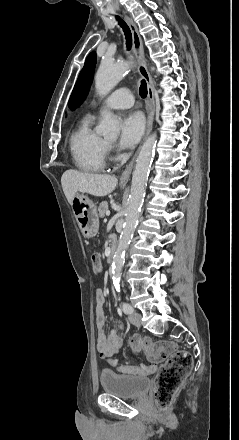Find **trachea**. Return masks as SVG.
I'll use <instances>...</instances> for the list:
<instances>
[{"mask_svg": "<svg viewBox=\"0 0 239 440\" xmlns=\"http://www.w3.org/2000/svg\"><path fill=\"white\" fill-rule=\"evenodd\" d=\"M116 20L118 21V24L123 29L125 39H126V48H127V50H131V46H132L131 30H130L129 26L127 25V23L124 22V20H122L120 17L116 16ZM139 94L141 95L142 98H145L147 96V84H146L145 80H141V84L139 87Z\"/></svg>", "mask_w": 239, "mask_h": 440, "instance_id": "obj_1", "label": "trachea"}]
</instances>
